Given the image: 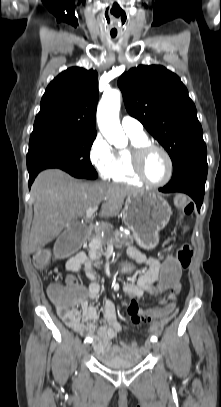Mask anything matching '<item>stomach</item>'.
<instances>
[{
    "mask_svg": "<svg viewBox=\"0 0 221 407\" xmlns=\"http://www.w3.org/2000/svg\"><path fill=\"white\" fill-rule=\"evenodd\" d=\"M171 215V207L162 196L140 191L127 196L123 221L140 247L153 249L159 242V232L168 224Z\"/></svg>",
    "mask_w": 221,
    "mask_h": 407,
    "instance_id": "1",
    "label": "stomach"
}]
</instances>
